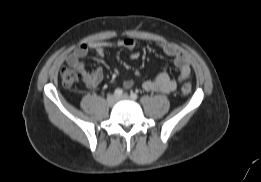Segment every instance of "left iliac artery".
Segmentation results:
<instances>
[{
    "label": "left iliac artery",
    "mask_w": 261,
    "mask_h": 182,
    "mask_svg": "<svg viewBox=\"0 0 261 182\" xmlns=\"http://www.w3.org/2000/svg\"><path fill=\"white\" fill-rule=\"evenodd\" d=\"M130 97H131V99L136 100L138 96H137L136 93H133V92H132V93L130 94Z\"/></svg>",
    "instance_id": "obj_1"
}]
</instances>
